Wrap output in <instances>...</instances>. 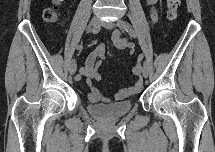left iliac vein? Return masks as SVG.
Instances as JSON below:
<instances>
[{
  "label": "left iliac vein",
  "instance_id": "1",
  "mask_svg": "<svg viewBox=\"0 0 215 152\" xmlns=\"http://www.w3.org/2000/svg\"><path fill=\"white\" fill-rule=\"evenodd\" d=\"M101 25L107 29H113L116 26L115 22H106V21H102ZM143 76L146 78L149 75V67L146 63H144L143 65V72H142Z\"/></svg>",
  "mask_w": 215,
  "mask_h": 152
}]
</instances>
